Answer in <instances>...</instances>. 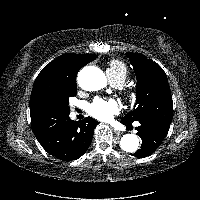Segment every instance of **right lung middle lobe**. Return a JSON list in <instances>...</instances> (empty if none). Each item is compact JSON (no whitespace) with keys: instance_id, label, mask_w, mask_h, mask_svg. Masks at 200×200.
<instances>
[{"instance_id":"right-lung-middle-lobe-1","label":"right lung middle lobe","mask_w":200,"mask_h":200,"mask_svg":"<svg viewBox=\"0 0 200 200\" xmlns=\"http://www.w3.org/2000/svg\"><path fill=\"white\" fill-rule=\"evenodd\" d=\"M77 93V84H71L60 91L43 92L37 99L34 107V113L38 117L53 114H68L70 107L68 106L69 97L75 96Z\"/></svg>"}]
</instances>
